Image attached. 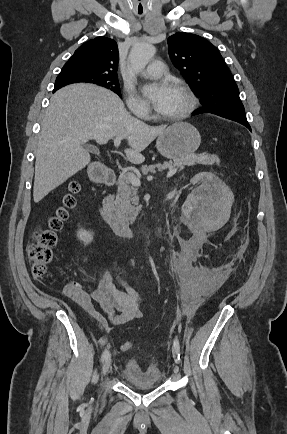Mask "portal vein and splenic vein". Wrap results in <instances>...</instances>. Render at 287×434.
I'll use <instances>...</instances> for the list:
<instances>
[{"label":"portal vein and splenic vein","instance_id":"obj_1","mask_svg":"<svg viewBox=\"0 0 287 434\" xmlns=\"http://www.w3.org/2000/svg\"><path fill=\"white\" fill-rule=\"evenodd\" d=\"M121 139H122L121 137L115 138V140H114L115 147H118L120 145ZM176 171H177L176 167L175 168H173V167L169 168V171L167 172L166 177L171 178L176 173ZM128 178H129L130 183L133 186H140L141 185L140 179L138 177H136L133 173H129Z\"/></svg>","mask_w":287,"mask_h":434}]
</instances>
